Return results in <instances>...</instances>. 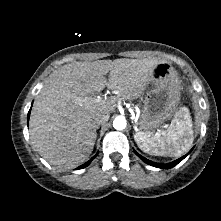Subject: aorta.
<instances>
[{"instance_id": "762f6f07", "label": "aorta", "mask_w": 221, "mask_h": 221, "mask_svg": "<svg viewBox=\"0 0 221 221\" xmlns=\"http://www.w3.org/2000/svg\"><path fill=\"white\" fill-rule=\"evenodd\" d=\"M126 125H127L126 119L123 116H118L113 121V127L116 130H123L126 128Z\"/></svg>"}]
</instances>
